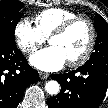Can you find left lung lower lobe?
<instances>
[{
    "mask_svg": "<svg viewBox=\"0 0 108 108\" xmlns=\"http://www.w3.org/2000/svg\"><path fill=\"white\" fill-rule=\"evenodd\" d=\"M51 78L60 83L61 91L47 100L49 108H98L108 90V61L94 60ZM71 93L77 95L70 98Z\"/></svg>",
    "mask_w": 108,
    "mask_h": 108,
    "instance_id": "0a47b994",
    "label": "left lung lower lobe"
}]
</instances>
